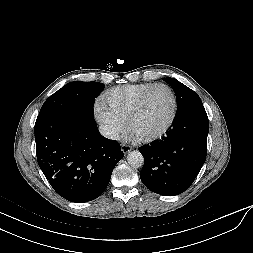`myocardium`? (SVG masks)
I'll list each match as a JSON object with an SVG mask.
<instances>
[{"label": "myocardium", "instance_id": "1", "mask_svg": "<svg viewBox=\"0 0 253 253\" xmlns=\"http://www.w3.org/2000/svg\"><path fill=\"white\" fill-rule=\"evenodd\" d=\"M157 87H165L166 89H168V91L171 94L172 101H173V109H172V114H171L169 121L161 130H159L155 133L147 134V135L133 134L131 131V127H132L134 121L139 116L149 93ZM177 113H178V100H177V96H176L173 88L166 83H155V84H152L151 86H149L138 98L134 109L132 110L131 114L127 118L126 127H127V130L130 131L135 136V138L138 139L139 141L151 142V141H154V140H157V139L163 137L171 129V127L173 126L175 119L177 117Z\"/></svg>", "mask_w": 253, "mask_h": 253}]
</instances>
